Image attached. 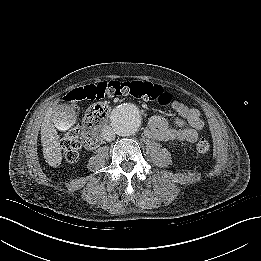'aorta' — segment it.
I'll use <instances>...</instances> for the list:
<instances>
[{"label":"aorta","mask_w":261,"mask_h":261,"mask_svg":"<svg viewBox=\"0 0 261 261\" xmlns=\"http://www.w3.org/2000/svg\"><path fill=\"white\" fill-rule=\"evenodd\" d=\"M111 126L119 136L134 134L142 123L140 108L133 103H123L111 112Z\"/></svg>","instance_id":"762f6f07"}]
</instances>
